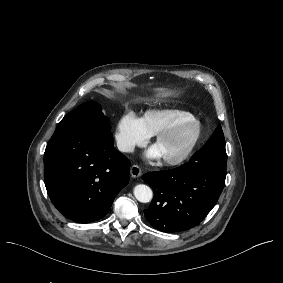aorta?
Here are the masks:
<instances>
[{
    "label": "aorta",
    "mask_w": 283,
    "mask_h": 283,
    "mask_svg": "<svg viewBox=\"0 0 283 283\" xmlns=\"http://www.w3.org/2000/svg\"><path fill=\"white\" fill-rule=\"evenodd\" d=\"M133 192L135 198L142 203H148L153 198V192L151 188L144 184L136 185Z\"/></svg>",
    "instance_id": "762f6f07"
}]
</instances>
